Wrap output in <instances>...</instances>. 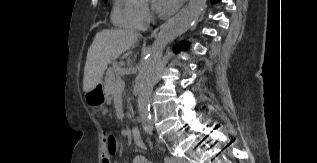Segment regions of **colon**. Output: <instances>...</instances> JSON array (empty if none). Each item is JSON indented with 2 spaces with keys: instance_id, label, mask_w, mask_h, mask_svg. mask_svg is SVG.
<instances>
[{
  "instance_id": "colon-1",
  "label": "colon",
  "mask_w": 317,
  "mask_h": 163,
  "mask_svg": "<svg viewBox=\"0 0 317 163\" xmlns=\"http://www.w3.org/2000/svg\"><path fill=\"white\" fill-rule=\"evenodd\" d=\"M108 153L114 155L116 152V139L113 134H108L105 137Z\"/></svg>"
}]
</instances>
